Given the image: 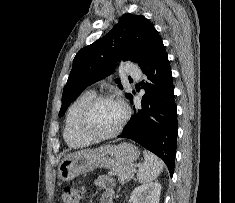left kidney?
<instances>
[{
    "label": "left kidney",
    "instance_id": "1",
    "mask_svg": "<svg viewBox=\"0 0 235 203\" xmlns=\"http://www.w3.org/2000/svg\"><path fill=\"white\" fill-rule=\"evenodd\" d=\"M161 184L150 182L136 187L130 196L132 203H159Z\"/></svg>",
    "mask_w": 235,
    "mask_h": 203
}]
</instances>
